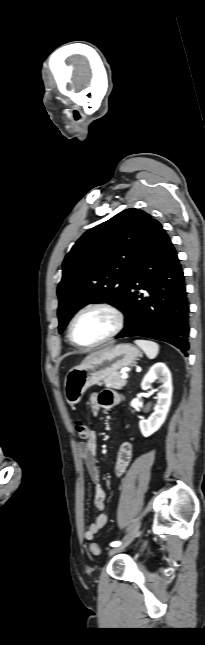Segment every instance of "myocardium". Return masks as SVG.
<instances>
[{"mask_svg":"<svg viewBox=\"0 0 205 645\" xmlns=\"http://www.w3.org/2000/svg\"><path fill=\"white\" fill-rule=\"evenodd\" d=\"M88 310H102V311L107 312L112 317L113 326H112L111 330L109 331V333L106 336H104L103 338H101V339H99V340H97L95 342H92V343H81V342H78L75 339L74 333H73V328H74V324H75L76 320L78 319V317L81 314H83L84 312L88 311ZM123 325H124V316H123V313L120 311L119 308H117L116 306H114V305H112L110 303H107V302H90V303L82 306L73 315V317H72V319H71V321L69 323V327H68V337H69L70 341L73 344H75L76 346H78V347H81V348H94V347L100 346V345L110 341L111 339H113L122 330Z\"/></svg>","mask_w":205,"mask_h":645,"instance_id":"1","label":"myocardium"}]
</instances>
